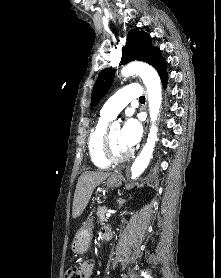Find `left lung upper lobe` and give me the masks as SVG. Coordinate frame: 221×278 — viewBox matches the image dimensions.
<instances>
[{
    "label": "left lung upper lobe",
    "mask_w": 221,
    "mask_h": 278,
    "mask_svg": "<svg viewBox=\"0 0 221 278\" xmlns=\"http://www.w3.org/2000/svg\"><path fill=\"white\" fill-rule=\"evenodd\" d=\"M134 60L144 61L155 67L157 71L166 65V61L161 56L159 48L151 45V37L138 29L128 33L121 63L127 64ZM114 74L115 70L111 68H106L100 73L92 91L91 106L97 104L107 93L113 82Z\"/></svg>",
    "instance_id": "obj_1"
}]
</instances>
